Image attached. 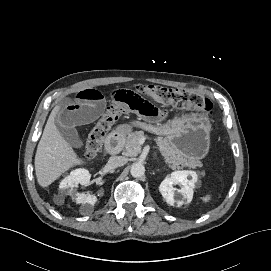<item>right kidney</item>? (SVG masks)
<instances>
[{
  "instance_id": "obj_1",
  "label": "right kidney",
  "mask_w": 271,
  "mask_h": 271,
  "mask_svg": "<svg viewBox=\"0 0 271 271\" xmlns=\"http://www.w3.org/2000/svg\"><path fill=\"white\" fill-rule=\"evenodd\" d=\"M91 174L86 169L73 170L70 175L66 176L60 183V191L64 194L71 195L72 199L77 204H90L92 206L97 202V197L90 194H83L73 191L79 183L82 185L87 184L90 181Z\"/></svg>"
}]
</instances>
